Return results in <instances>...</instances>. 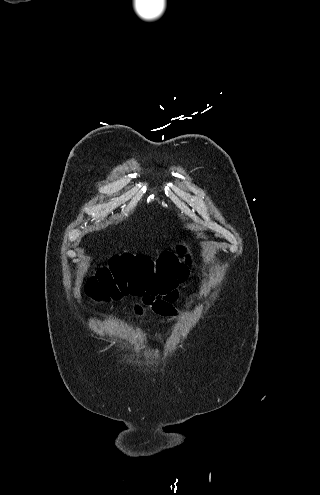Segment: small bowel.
<instances>
[{
    "label": "small bowel",
    "instance_id": "small-bowel-1",
    "mask_svg": "<svg viewBox=\"0 0 320 495\" xmlns=\"http://www.w3.org/2000/svg\"><path fill=\"white\" fill-rule=\"evenodd\" d=\"M187 278V273L180 282H183ZM179 299V290L177 289V284L165 293H155L149 294L145 293L141 295L140 304L136 305L134 312L137 316L144 315V309L146 307L150 308L155 314L161 316L167 320H174L180 316L179 310L174 306V304ZM189 306V302L186 303V308Z\"/></svg>",
    "mask_w": 320,
    "mask_h": 495
}]
</instances>
